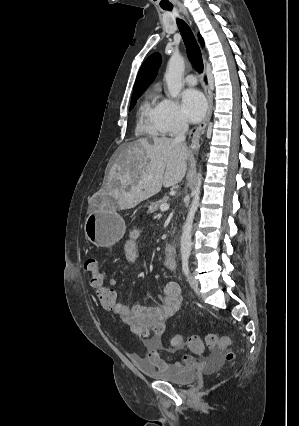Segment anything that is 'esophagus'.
<instances>
[{
	"instance_id": "34e87169",
	"label": "esophagus",
	"mask_w": 299,
	"mask_h": 426,
	"mask_svg": "<svg viewBox=\"0 0 299 426\" xmlns=\"http://www.w3.org/2000/svg\"><path fill=\"white\" fill-rule=\"evenodd\" d=\"M185 15L187 16V18H189L188 13H185ZM205 94H206V98H207V102H208V111H207V114H206V117L204 118V120L196 128V131L194 133V137H193V140H192V143H191L192 149H196L200 146L199 145L200 138L204 134L205 129L207 127V124L210 121V118H211V115H212L213 99H212V95H211V93H210V91L208 90L207 87H205Z\"/></svg>"
}]
</instances>
